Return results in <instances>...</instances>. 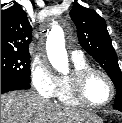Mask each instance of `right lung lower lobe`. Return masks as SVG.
<instances>
[{"label":"right lung lower lobe","instance_id":"right-lung-lower-lobe-1","mask_svg":"<svg viewBox=\"0 0 122 123\" xmlns=\"http://www.w3.org/2000/svg\"><path fill=\"white\" fill-rule=\"evenodd\" d=\"M30 87V83L22 82L10 77L1 76V93L20 89H29Z\"/></svg>","mask_w":122,"mask_h":123}]
</instances>
